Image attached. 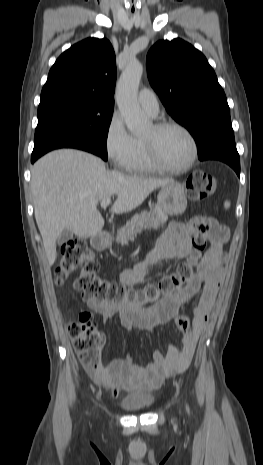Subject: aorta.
<instances>
[{
	"mask_svg": "<svg viewBox=\"0 0 263 465\" xmlns=\"http://www.w3.org/2000/svg\"><path fill=\"white\" fill-rule=\"evenodd\" d=\"M143 74V66L138 61H131L123 71L116 90V101L126 126L134 134L142 133L148 118L142 112L138 101V87Z\"/></svg>",
	"mask_w": 263,
	"mask_h": 465,
	"instance_id": "aorta-1",
	"label": "aorta"
}]
</instances>
